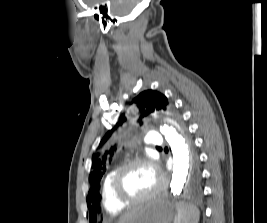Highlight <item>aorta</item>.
Listing matches in <instances>:
<instances>
[{"label": "aorta", "mask_w": 267, "mask_h": 223, "mask_svg": "<svg viewBox=\"0 0 267 223\" xmlns=\"http://www.w3.org/2000/svg\"><path fill=\"white\" fill-rule=\"evenodd\" d=\"M160 132L169 143L173 153V172L170 183V193L180 195L190 174V153L188 142L179 124L167 118L160 126Z\"/></svg>", "instance_id": "obj_1"}]
</instances>
